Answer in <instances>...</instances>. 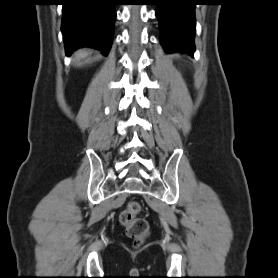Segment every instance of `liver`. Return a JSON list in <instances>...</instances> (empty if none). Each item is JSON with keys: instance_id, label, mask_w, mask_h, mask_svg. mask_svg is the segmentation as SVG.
I'll list each match as a JSON object with an SVG mask.
<instances>
[{"instance_id": "6515ba94", "label": "liver", "mask_w": 278, "mask_h": 278, "mask_svg": "<svg viewBox=\"0 0 278 278\" xmlns=\"http://www.w3.org/2000/svg\"><path fill=\"white\" fill-rule=\"evenodd\" d=\"M79 55L83 56V55H86V53L85 52H80Z\"/></svg>"}]
</instances>
